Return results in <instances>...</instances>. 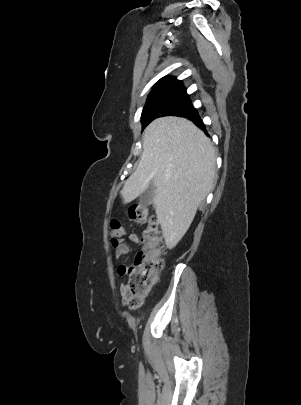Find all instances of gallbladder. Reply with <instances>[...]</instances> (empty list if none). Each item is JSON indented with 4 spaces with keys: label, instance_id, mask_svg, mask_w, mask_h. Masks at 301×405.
<instances>
[{
    "label": "gallbladder",
    "instance_id": "bac80fb5",
    "mask_svg": "<svg viewBox=\"0 0 301 405\" xmlns=\"http://www.w3.org/2000/svg\"><path fill=\"white\" fill-rule=\"evenodd\" d=\"M155 197V185L151 183L148 188L140 195L139 203L142 206H149L152 204Z\"/></svg>",
    "mask_w": 301,
    "mask_h": 405
}]
</instances>
